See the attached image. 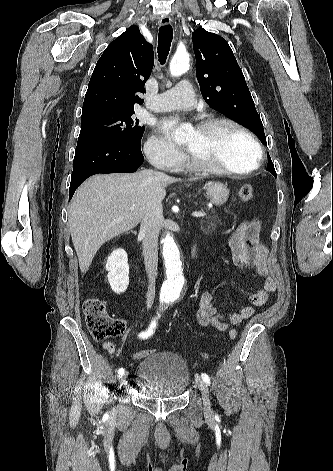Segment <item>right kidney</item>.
I'll list each match as a JSON object with an SVG mask.
<instances>
[{"label": "right kidney", "instance_id": "ca27d5eb", "mask_svg": "<svg viewBox=\"0 0 333 471\" xmlns=\"http://www.w3.org/2000/svg\"><path fill=\"white\" fill-rule=\"evenodd\" d=\"M106 270L108 282L116 294L126 291L129 285V266L127 253L123 249H117L107 259Z\"/></svg>", "mask_w": 333, "mask_h": 471}]
</instances>
